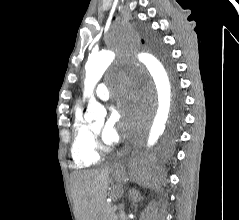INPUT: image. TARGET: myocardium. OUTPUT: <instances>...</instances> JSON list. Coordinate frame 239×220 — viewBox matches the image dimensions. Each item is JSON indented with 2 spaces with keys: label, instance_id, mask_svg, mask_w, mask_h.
I'll return each mask as SVG.
<instances>
[{
  "label": "myocardium",
  "instance_id": "obj_1",
  "mask_svg": "<svg viewBox=\"0 0 239 220\" xmlns=\"http://www.w3.org/2000/svg\"><path fill=\"white\" fill-rule=\"evenodd\" d=\"M92 132L93 134L97 137L98 136V132L95 131L94 129H92ZM96 147H97V150L98 152H101V153H105V152H108L110 149L107 145H105L104 143L100 142V141H97L96 142Z\"/></svg>",
  "mask_w": 239,
  "mask_h": 220
}]
</instances>
